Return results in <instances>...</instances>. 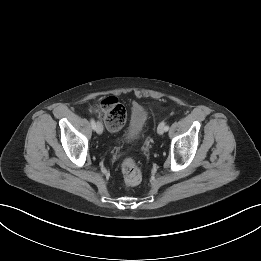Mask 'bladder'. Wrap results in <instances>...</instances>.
Segmentation results:
<instances>
[{
	"label": "bladder",
	"mask_w": 261,
	"mask_h": 261,
	"mask_svg": "<svg viewBox=\"0 0 261 261\" xmlns=\"http://www.w3.org/2000/svg\"><path fill=\"white\" fill-rule=\"evenodd\" d=\"M148 121L146 109L136 104L131 108L128 126L124 132V141L135 142L141 138Z\"/></svg>",
	"instance_id": "bladder-1"
}]
</instances>
